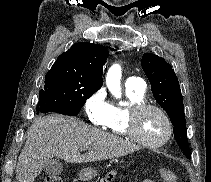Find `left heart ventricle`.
Returning <instances> with one entry per match:
<instances>
[{"label": "left heart ventricle", "instance_id": "b2bd125f", "mask_svg": "<svg viewBox=\"0 0 211 182\" xmlns=\"http://www.w3.org/2000/svg\"><path fill=\"white\" fill-rule=\"evenodd\" d=\"M167 126L162 116L155 110H146L138 119V132L148 142H158L166 134Z\"/></svg>", "mask_w": 211, "mask_h": 182}]
</instances>
